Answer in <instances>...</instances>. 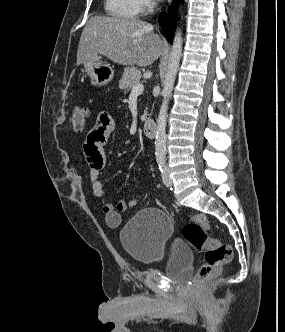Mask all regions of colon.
Segmentation results:
<instances>
[{"label": "colon", "instance_id": "colon-1", "mask_svg": "<svg viewBox=\"0 0 285 332\" xmlns=\"http://www.w3.org/2000/svg\"><path fill=\"white\" fill-rule=\"evenodd\" d=\"M88 112L85 107L74 108L70 122L76 132H82L87 124ZM209 219L203 214L195 215L183 226L186 241L197 251L205 253V262L197 273V280L204 281L217 274L232 258L231 246L208 236Z\"/></svg>", "mask_w": 285, "mask_h": 332}]
</instances>
